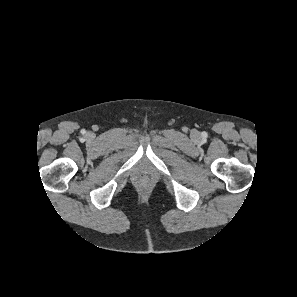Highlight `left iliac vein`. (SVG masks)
I'll return each instance as SVG.
<instances>
[{
	"instance_id": "left-iliac-vein-1",
	"label": "left iliac vein",
	"mask_w": 297,
	"mask_h": 297,
	"mask_svg": "<svg viewBox=\"0 0 297 297\" xmlns=\"http://www.w3.org/2000/svg\"><path fill=\"white\" fill-rule=\"evenodd\" d=\"M197 135H198L197 133L194 134V136H197Z\"/></svg>"
}]
</instances>
